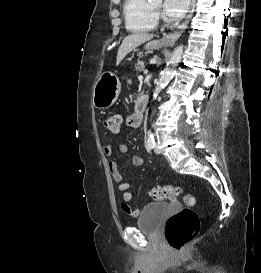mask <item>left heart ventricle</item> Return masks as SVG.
<instances>
[{"mask_svg": "<svg viewBox=\"0 0 261 273\" xmlns=\"http://www.w3.org/2000/svg\"><path fill=\"white\" fill-rule=\"evenodd\" d=\"M152 5H153L154 7H156V8H158V9H160L161 6H162V2H161V0H156V1H154V2L152 3Z\"/></svg>", "mask_w": 261, "mask_h": 273, "instance_id": "obj_1", "label": "left heart ventricle"}]
</instances>
